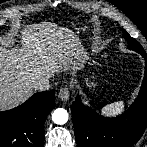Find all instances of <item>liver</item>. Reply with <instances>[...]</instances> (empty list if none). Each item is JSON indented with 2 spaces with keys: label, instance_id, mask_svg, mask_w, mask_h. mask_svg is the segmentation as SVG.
Returning <instances> with one entry per match:
<instances>
[{
  "label": "liver",
  "instance_id": "liver-1",
  "mask_svg": "<svg viewBox=\"0 0 147 147\" xmlns=\"http://www.w3.org/2000/svg\"><path fill=\"white\" fill-rule=\"evenodd\" d=\"M21 34V49L0 46V109L24 101L40 78L60 69L76 71L86 58L79 38L68 28L42 22Z\"/></svg>",
  "mask_w": 147,
  "mask_h": 147
}]
</instances>
